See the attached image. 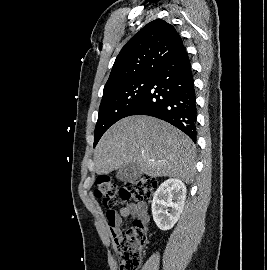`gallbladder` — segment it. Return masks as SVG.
<instances>
[{"instance_id":"bac80fb5","label":"gallbladder","mask_w":267,"mask_h":270,"mask_svg":"<svg viewBox=\"0 0 267 270\" xmlns=\"http://www.w3.org/2000/svg\"><path fill=\"white\" fill-rule=\"evenodd\" d=\"M142 172L135 163L128 164L118 169L116 177L122 182H134L141 178Z\"/></svg>"}]
</instances>
